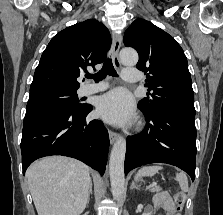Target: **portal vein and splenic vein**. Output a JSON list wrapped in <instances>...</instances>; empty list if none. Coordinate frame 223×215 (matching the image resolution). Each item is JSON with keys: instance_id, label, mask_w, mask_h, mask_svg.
<instances>
[{"instance_id": "portal-vein-and-splenic-vein-1", "label": "portal vein and splenic vein", "mask_w": 223, "mask_h": 215, "mask_svg": "<svg viewBox=\"0 0 223 215\" xmlns=\"http://www.w3.org/2000/svg\"><path fill=\"white\" fill-rule=\"evenodd\" d=\"M157 183H158V180L157 179H154L153 180V183H152V187L153 188H156L157 187ZM152 187L149 185L147 188L150 190Z\"/></svg>"}]
</instances>
